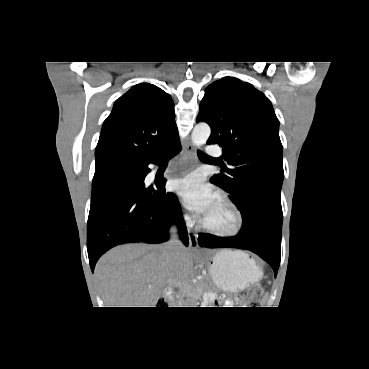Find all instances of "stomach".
I'll list each match as a JSON object with an SVG mask.
<instances>
[{
  "label": "stomach",
  "instance_id": "obj_1",
  "mask_svg": "<svg viewBox=\"0 0 369 369\" xmlns=\"http://www.w3.org/2000/svg\"><path fill=\"white\" fill-rule=\"evenodd\" d=\"M213 282L225 292H238L257 282L262 275L254 260L241 251L223 250L209 265Z\"/></svg>",
  "mask_w": 369,
  "mask_h": 369
}]
</instances>
